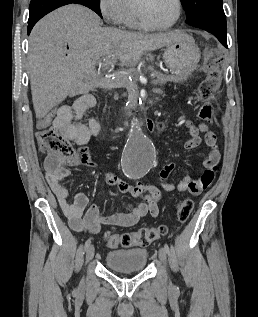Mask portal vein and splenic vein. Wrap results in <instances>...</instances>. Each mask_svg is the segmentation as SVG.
Instances as JSON below:
<instances>
[{
    "label": "portal vein and splenic vein",
    "instance_id": "obj_1",
    "mask_svg": "<svg viewBox=\"0 0 258 317\" xmlns=\"http://www.w3.org/2000/svg\"><path fill=\"white\" fill-rule=\"evenodd\" d=\"M110 56H114V54H110ZM110 64H112V62H110Z\"/></svg>",
    "mask_w": 258,
    "mask_h": 317
}]
</instances>
